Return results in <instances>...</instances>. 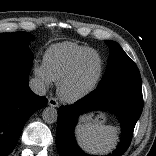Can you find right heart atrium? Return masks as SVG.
I'll return each mask as SVG.
<instances>
[{"label":"right heart atrium","instance_id":"obj_1","mask_svg":"<svg viewBox=\"0 0 156 156\" xmlns=\"http://www.w3.org/2000/svg\"><path fill=\"white\" fill-rule=\"evenodd\" d=\"M33 71L35 76L39 79V81L45 86L49 87L52 80L50 79L44 65L35 64L33 67Z\"/></svg>","mask_w":156,"mask_h":156}]
</instances>
